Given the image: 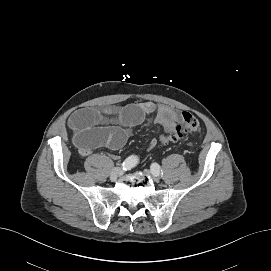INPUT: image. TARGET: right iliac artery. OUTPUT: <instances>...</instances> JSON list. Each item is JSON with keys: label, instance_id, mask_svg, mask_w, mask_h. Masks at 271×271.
<instances>
[{"label": "right iliac artery", "instance_id": "1", "mask_svg": "<svg viewBox=\"0 0 271 271\" xmlns=\"http://www.w3.org/2000/svg\"><path fill=\"white\" fill-rule=\"evenodd\" d=\"M138 163V158L136 156H129L122 164L121 167L123 170L127 171L136 166Z\"/></svg>", "mask_w": 271, "mask_h": 271}]
</instances>
